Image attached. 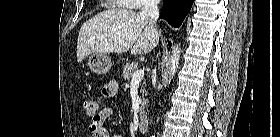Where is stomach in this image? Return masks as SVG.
Listing matches in <instances>:
<instances>
[{"label":"stomach","mask_w":280,"mask_h":137,"mask_svg":"<svg viewBox=\"0 0 280 137\" xmlns=\"http://www.w3.org/2000/svg\"><path fill=\"white\" fill-rule=\"evenodd\" d=\"M88 66L92 72L103 75L109 72L112 63L107 54L93 53L88 59Z\"/></svg>","instance_id":"stomach-1"}]
</instances>
